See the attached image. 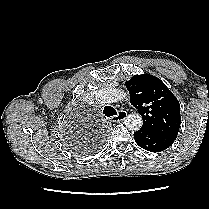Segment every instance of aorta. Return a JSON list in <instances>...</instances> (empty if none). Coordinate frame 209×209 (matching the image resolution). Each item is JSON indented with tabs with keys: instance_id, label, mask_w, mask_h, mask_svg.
Wrapping results in <instances>:
<instances>
[{
	"instance_id": "aorta-1",
	"label": "aorta",
	"mask_w": 209,
	"mask_h": 209,
	"mask_svg": "<svg viewBox=\"0 0 209 209\" xmlns=\"http://www.w3.org/2000/svg\"><path fill=\"white\" fill-rule=\"evenodd\" d=\"M126 93L117 88H104L97 92L96 99L103 104H110L124 99ZM143 124L142 117L139 113L134 112L125 119V126L131 131H138Z\"/></svg>"
}]
</instances>
